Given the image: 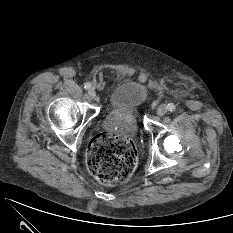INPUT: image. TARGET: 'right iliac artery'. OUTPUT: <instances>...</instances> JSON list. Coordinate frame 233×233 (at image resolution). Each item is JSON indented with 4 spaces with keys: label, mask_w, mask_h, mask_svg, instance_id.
Wrapping results in <instances>:
<instances>
[{
    "label": "right iliac artery",
    "mask_w": 233,
    "mask_h": 233,
    "mask_svg": "<svg viewBox=\"0 0 233 233\" xmlns=\"http://www.w3.org/2000/svg\"><path fill=\"white\" fill-rule=\"evenodd\" d=\"M84 88L89 90L91 88V84L89 82L85 83Z\"/></svg>",
    "instance_id": "right-iliac-artery-1"
}]
</instances>
